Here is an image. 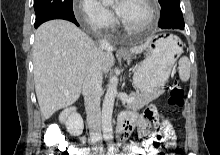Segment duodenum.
I'll use <instances>...</instances> for the list:
<instances>
[{
  "label": "duodenum",
  "instance_id": "duodenum-1",
  "mask_svg": "<svg viewBox=\"0 0 220 155\" xmlns=\"http://www.w3.org/2000/svg\"><path fill=\"white\" fill-rule=\"evenodd\" d=\"M72 110H68L64 113L63 118L66 119L70 114H71ZM117 136L121 139H124L128 136L129 134V127L127 125V123L124 120L120 121V124L116 130Z\"/></svg>",
  "mask_w": 220,
  "mask_h": 155
}]
</instances>
